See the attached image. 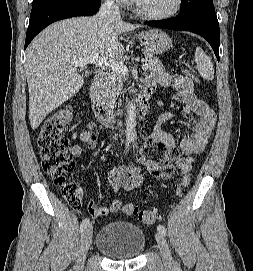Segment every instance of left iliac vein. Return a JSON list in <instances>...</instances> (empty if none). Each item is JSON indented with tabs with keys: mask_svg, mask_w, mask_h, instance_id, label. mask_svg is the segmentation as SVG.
<instances>
[{
	"mask_svg": "<svg viewBox=\"0 0 253 271\" xmlns=\"http://www.w3.org/2000/svg\"><path fill=\"white\" fill-rule=\"evenodd\" d=\"M155 238H156L158 247L160 249V253H161V256H162L164 266L167 269H173L174 262H173V259H172L168 244H167L164 236L161 233H156Z\"/></svg>",
	"mask_w": 253,
	"mask_h": 271,
	"instance_id": "1",
	"label": "left iliac vein"
}]
</instances>
